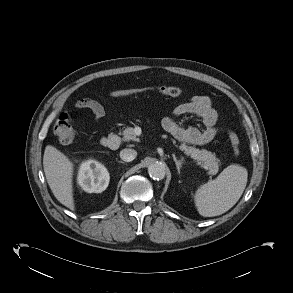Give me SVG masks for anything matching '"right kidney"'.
I'll list each match as a JSON object with an SVG mask.
<instances>
[{
  "label": "right kidney",
  "mask_w": 293,
  "mask_h": 293,
  "mask_svg": "<svg viewBox=\"0 0 293 293\" xmlns=\"http://www.w3.org/2000/svg\"><path fill=\"white\" fill-rule=\"evenodd\" d=\"M109 180V172L103 164L93 159L82 162L77 181L84 191L101 193L108 187Z\"/></svg>",
  "instance_id": "obj_1"
}]
</instances>
